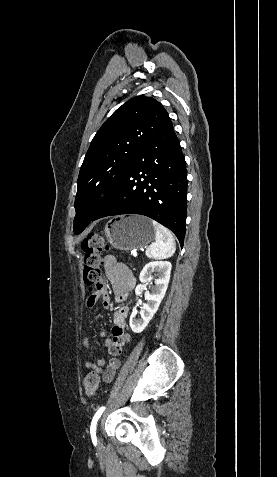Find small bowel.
Wrapping results in <instances>:
<instances>
[{
	"instance_id": "small-bowel-1",
	"label": "small bowel",
	"mask_w": 277,
	"mask_h": 477,
	"mask_svg": "<svg viewBox=\"0 0 277 477\" xmlns=\"http://www.w3.org/2000/svg\"><path fill=\"white\" fill-rule=\"evenodd\" d=\"M104 268L107 277L112 286L113 293L117 302H123L128 298L129 293L134 289L136 281L130 269L123 263L118 262L113 256L104 258ZM102 304L105 308L111 305V298L105 283L100 288ZM99 299V295L90 296L87 300L88 307H93ZM129 313L127 306H121L114 314V326L112 328V336L110 337L106 331L100 332V337L104 340L105 346L112 357L109 359L107 366L104 359L96 362L90 360L84 361L86 368L92 369L96 374H101L105 383L113 380L116 371L120 367V361L117 358L121 354L123 347L130 342V336L126 332V320ZM83 346L88 348L87 335L83 338ZM106 368L104 369V367Z\"/></svg>"
}]
</instances>
